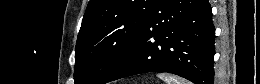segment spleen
<instances>
[{"mask_svg": "<svg viewBox=\"0 0 260 84\" xmlns=\"http://www.w3.org/2000/svg\"><path fill=\"white\" fill-rule=\"evenodd\" d=\"M157 77L165 81L166 84H190L186 79L177 77L170 73H158Z\"/></svg>", "mask_w": 260, "mask_h": 84, "instance_id": "spleen-1", "label": "spleen"}]
</instances>
